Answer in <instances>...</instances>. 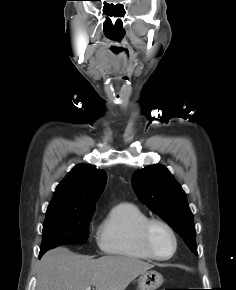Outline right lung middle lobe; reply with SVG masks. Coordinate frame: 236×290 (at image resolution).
I'll return each instance as SVG.
<instances>
[{
    "mask_svg": "<svg viewBox=\"0 0 236 290\" xmlns=\"http://www.w3.org/2000/svg\"><path fill=\"white\" fill-rule=\"evenodd\" d=\"M93 212L46 213L39 256L59 245L85 243L88 238V226Z\"/></svg>",
    "mask_w": 236,
    "mask_h": 290,
    "instance_id": "dd1d6c3e",
    "label": "right lung middle lobe"
}]
</instances>
